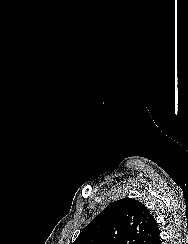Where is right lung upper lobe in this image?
Segmentation results:
<instances>
[{
	"mask_svg": "<svg viewBox=\"0 0 188 244\" xmlns=\"http://www.w3.org/2000/svg\"><path fill=\"white\" fill-rule=\"evenodd\" d=\"M158 224L141 202L125 198L108 205L73 244H149Z\"/></svg>",
	"mask_w": 188,
	"mask_h": 244,
	"instance_id": "obj_1",
	"label": "right lung upper lobe"
}]
</instances>
